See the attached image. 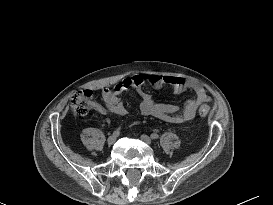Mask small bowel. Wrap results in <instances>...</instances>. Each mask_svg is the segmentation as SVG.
Here are the masks:
<instances>
[{
  "mask_svg": "<svg viewBox=\"0 0 273 205\" xmlns=\"http://www.w3.org/2000/svg\"><path fill=\"white\" fill-rule=\"evenodd\" d=\"M146 83L154 88L168 85L173 89L175 94L192 91L195 94V98L187 100L182 107L171 103H159L145 91L144 86ZM128 89H134L139 94L142 114L154 116L163 121L175 124L192 120L196 115V111L211 101L208 90L201 84L176 76L162 77L150 75L145 79L143 76L136 74L123 79L112 89H104L102 92L104 106L96 104L94 109L101 114H127V109L119 98V95Z\"/></svg>",
  "mask_w": 273,
  "mask_h": 205,
  "instance_id": "c3829d8e",
  "label": "small bowel"
}]
</instances>
